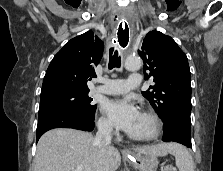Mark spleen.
I'll list each match as a JSON object with an SVG mask.
<instances>
[{
	"mask_svg": "<svg viewBox=\"0 0 223 171\" xmlns=\"http://www.w3.org/2000/svg\"><path fill=\"white\" fill-rule=\"evenodd\" d=\"M175 156L176 166L179 171H194V162L189 151L179 144H173L171 152Z\"/></svg>",
	"mask_w": 223,
	"mask_h": 171,
	"instance_id": "3e777b00",
	"label": "spleen"
}]
</instances>
